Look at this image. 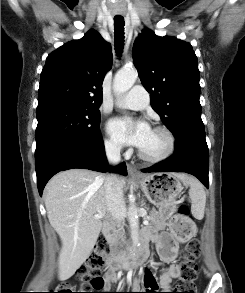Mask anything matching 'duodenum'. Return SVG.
Returning a JSON list of instances; mask_svg holds the SVG:
<instances>
[{
  "label": "duodenum",
  "mask_w": 245,
  "mask_h": 293,
  "mask_svg": "<svg viewBox=\"0 0 245 293\" xmlns=\"http://www.w3.org/2000/svg\"><path fill=\"white\" fill-rule=\"evenodd\" d=\"M115 220L109 219L102 228V234L109 236L114 227ZM147 256L145 244L141 241L138 247V252L135 256L127 257L123 251H118L114 256L107 258V267L111 270L117 269H134L141 265V261Z\"/></svg>",
  "instance_id": "410a0bca"
}]
</instances>
